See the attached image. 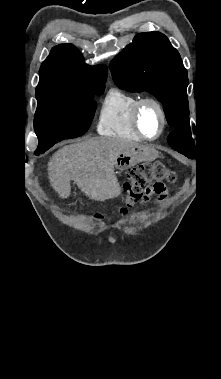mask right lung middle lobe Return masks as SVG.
Masks as SVG:
<instances>
[{"label": "right lung middle lobe", "mask_w": 221, "mask_h": 379, "mask_svg": "<svg viewBox=\"0 0 221 379\" xmlns=\"http://www.w3.org/2000/svg\"><path fill=\"white\" fill-rule=\"evenodd\" d=\"M104 88L36 97L34 129L39 139L37 149L48 150L58 141L83 135L94 117L96 102L93 97L103 94Z\"/></svg>", "instance_id": "right-lung-middle-lobe-1"}]
</instances>
